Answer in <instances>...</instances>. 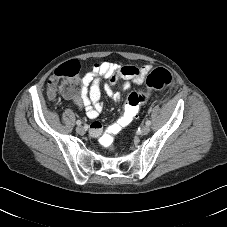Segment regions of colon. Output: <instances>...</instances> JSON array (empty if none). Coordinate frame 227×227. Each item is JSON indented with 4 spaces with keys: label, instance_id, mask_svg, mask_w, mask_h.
I'll list each match as a JSON object with an SVG mask.
<instances>
[{
    "label": "colon",
    "instance_id": "colon-1",
    "mask_svg": "<svg viewBox=\"0 0 227 227\" xmlns=\"http://www.w3.org/2000/svg\"><path fill=\"white\" fill-rule=\"evenodd\" d=\"M80 73V65L75 61L66 63L59 71L56 79L49 81V93L54 95L58 88L64 86L67 88L66 93L70 96L76 92ZM125 74L130 77L140 75L138 69L125 71ZM173 81L172 74L165 68H157L151 71L146 77V91L132 92L124 105L122 114L118 117L115 123L108 131L99 134V141L105 148H113L116 146L117 134L125 128L137 116L141 106L148 100L149 96L166 86H169Z\"/></svg>",
    "mask_w": 227,
    "mask_h": 227
}]
</instances>
